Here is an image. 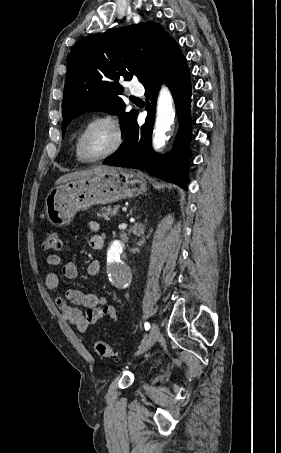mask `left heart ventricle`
I'll return each mask as SVG.
<instances>
[{
    "mask_svg": "<svg viewBox=\"0 0 281 453\" xmlns=\"http://www.w3.org/2000/svg\"><path fill=\"white\" fill-rule=\"evenodd\" d=\"M112 141L111 131L107 127L97 126L85 136L82 143V154L85 157L94 155L107 147Z\"/></svg>",
    "mask_w": 281,
    "mask_h": 453,
    "instance_id": "obj_1",
    "label": "left heart ventricle"
}]
</instances>
